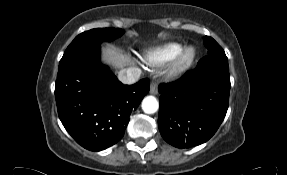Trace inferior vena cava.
Instances as JSON below:
<instances>
[{
    "mask_svg": "<svg viewBox=\"0 0 287 175\" xmlns=\"http://www.w3.org/2000/svg\"><path fill=\"white\" fill-rule=\"evenodd\" d=\"M141 72L138 67L122 69L118 73V79L124 84H133L139 80Z\"/></svg>",
    "mask_w": 287,
    "mask_h": 175,
    "instance_id": "1",
    "label": "inferior vena cava"
}]
</instances>
